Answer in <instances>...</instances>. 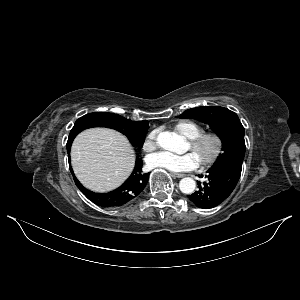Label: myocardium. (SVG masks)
Wrapping results in <instances>:
<instances>
[{"instance_id":"obj_1","label":"myocardium","mask_w":300,"mask_h":300,"mask_svg":"<svg viewBox=\"0 0 300 300\" xmlns=\"http://www.w3.org/2000/svg\"><path fill=\"white\" fill-rule=\"evenodd\" d=\"M208 140H211L213 142L214 149L208 158L199 162V165L203 168L213 166L220 159L224 151L223 138L219 133L215 131H209L202 132L199 135L189 139V145L192 148H197Z\"/></svg>"}]
</instances>
